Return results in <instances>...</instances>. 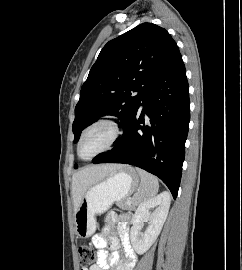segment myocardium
I'll list each match as a JSON object with an SVG mask.
<instances>
[{
    "mask_svg": "<svg viewBox=\"0 0 242 270\" xmlns=\"http://www.w3.org/2000/svg\"><path fill=\"white\" fill-rule=\"evenodd\" d=\"M99 125H106L111 129V138L109 140V142L107 143V145L101 149L100 151H98L97 153H95L94 155H92L89 158H83L80 154V146H81V142L85 136V134L92 128L99 126ZM122 135V126L120 121L113 117V116H102L96 120H94L93 122H91L89 125H87L81 132L79 140L77 142V154L79 156V158H81L82 160H91L95 157H97L98 155H101L107 151H109L110 149L113 148V146L118 142V140L120 139Z\"/></svg>",
    "mask_w": 242,
    "mask_h": 270,
    "instance_id": "f54148a6",
    "label": "myocardium"
}]
</instances>
